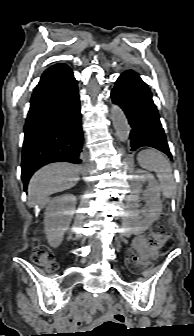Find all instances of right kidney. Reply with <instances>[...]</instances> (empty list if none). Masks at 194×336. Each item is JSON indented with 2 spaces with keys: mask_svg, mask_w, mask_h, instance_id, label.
Listing matches in <instances>:
<instances>
[{
  "mask_svg": "<svg viewBox=\"0 0 194 336\" xmlns=\"http://www.w3.org/2000/svg\"><path fill=\"white\" fill-rule=\"evenodd\" d=\"M76 197L65 194L55 197L47 204L44 214V231L51 247H58L71 223Z\"/></svg>",
  "mask_w": 194,
  "mask_h": 336,
  "instance_id": "right-kidney-1",
  "label": "right kidney"
}]
</instances>
